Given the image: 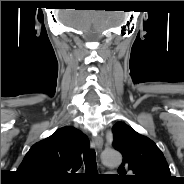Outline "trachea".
I'll list each match as a JSON object with an SVG mask.
<instances>
[{"mask_svg": "<svg viewBox=\"0 0 184 184\" xmlns=\"http://www.w3.org/2000/svg\"><path fill=\"white\" fill-rule=\"evenodd\" d=\"M83 160L85 163L86 171L88 173H96L97 172V165H96V153L93 150L86 152L83 156Z\"/></svg>", "mask_w": 184, "mask_h": 184, "instance_id": "3493384b", "label": "trachea"}]
</instances>
